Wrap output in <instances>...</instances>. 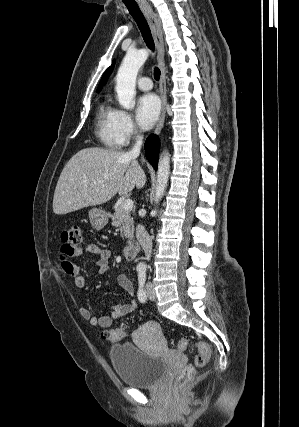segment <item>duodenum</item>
Here are the masks:
<instances>
[{"instance_id":"duodenum-1","label":"duodenum","mask_w":299,"mask_h":427,"mask_svg":"<svg viewBox=\"0 0 299 427\" xmlns=\"http://www.w3.org/2000/svg\"><path fill=\"white\" fill-rule=\"evenodd\" d=\"M137 250L138 242L136 240H132L123 248V257L126 259H133L136 256Z\"/></svg>"}]
</instances>
